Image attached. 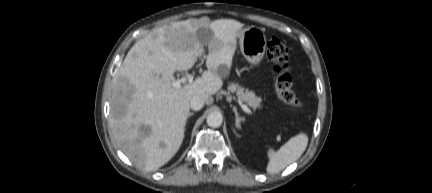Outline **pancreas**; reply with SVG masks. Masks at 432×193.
Segmentation results:
<instances>
[{"label":"pancreas","instance_id":"cf45deb5","mask_svg":"<svg viewBox=\"0 0 432 193\" xmlns=\"http://www.w3.org/2000/svg\"><path fill=\"white\" fill-rule=\"evenodd\" d=\"M228 90L236 93V96L240 101L245 102L253 109L261 107L262 99L261 97L256 96L254 92L244 89L243 87L235 83L229 84Z\"/></svg>","mask_w":432,"mask_h":193}]
</instances>
